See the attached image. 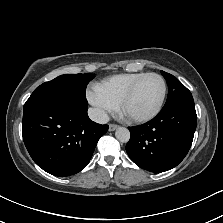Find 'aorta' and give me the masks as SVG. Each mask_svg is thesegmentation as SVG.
<instances>
[{
  "label": "aorta",
  "mask_w": 223,
  "mask_h": 223,
  "mask_svg": "<svg viewBox=\"0 0 223 223\" xmlns=\"http://www.w3.org/2000/svg\"><path fill=\"white\" fill-rule=\"evenodd\" d=\"M115 137L120 142H127L130 137V132L127 128L119 126L115 131Z\"/></svg>",
  "instance_id": "762f6f07"
}]
</instances>
